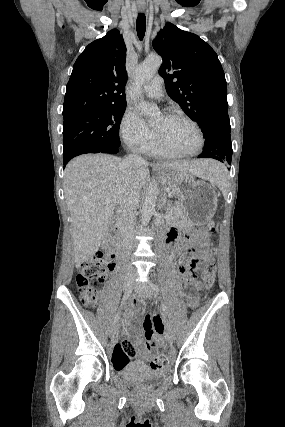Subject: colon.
<instances>
[{"label": "colon", "mask_w": 285, "mask_h": 427, "mask_svg": "<svg viewBox=\"0 0 285 427\" xmlns=\"http://www.w3.org/2000/svg\"><path fill=\"white\" fill-rule=\"evenodd\" d=\"M215 225L211 221L206 226V231L214 232ZM187 240L190 243L188 252L191 256V262L187 267H183V271L186 274L187 280V298L189 301H194L197 298V294L201 287L200 281H192L190 277V271L199 267V264L194 260V255L198 251L207 249V238L203 231L198 229H191L186 234ZM110 264L107 259L103 257H96L81 263L78 267V273L76 276V283L79 289L80 299L85 305H94L98 292V287L103 284L106 280L107 272ZM203 273L205 275L204 283L208 288L213 284L216 267L213 262H209L204 268ZM119 348L127 356L134 353V346L130 340H122L119 344ZM151 367L153 369H162L169 363L168 356L166 354H158L151 360Z\"/></svg>", "instance_id": "1"}]
</instances>
